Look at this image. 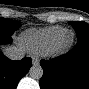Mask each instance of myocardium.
Instances as JSON below:
<instances>
[{"mask_svg":"<svg viewBox=\"0 0 89 89\" xmlns=\"http://www.w3.org/2000/svg\"><path fill=\"white\" fill-rule=\"evenodd\" d=\"M74 38L75 33L72 30H63V32L52 41V44L46 53L59 54L65 52L74 42Z\"/></svg>","mask_w":89,"mask_h":89,"instance_id":"1","label":"myocardium"}]
</instances>
